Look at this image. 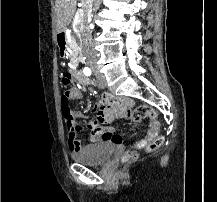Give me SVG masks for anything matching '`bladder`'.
<instances>
[{
    "instance_id": "31cf9c89",
    "label": "bladder",
    "mask_w": 217,
    "mask_h": 202,
    "mask_svg": "<svg viewBox=\"0 0 217 202\" xmlns=\"http://www.w3.org/2000/svg\"><path fill=\"white\" fill-rule=\"evenodd\" d=\"M115 146L112 142H102L95 145H88L73 154V158L85 165L92 166L103 163L107 158H111V154Z\"/></svg>"
}]
</instances>
